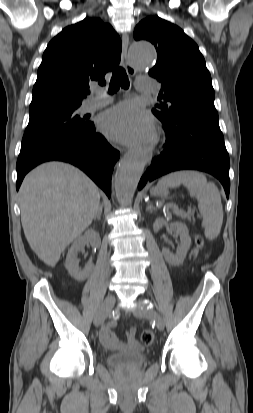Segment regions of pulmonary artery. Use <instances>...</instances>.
Returning a JSON list of instances; mask_svg holds the SVG:
<instances>
[{
    "label": "pulmonary artery",
    "mask_w": 253,
    "mask_h": 413,
    "mask_svg": "<svg viewBox=\"0 0 253 413\" xmlns=\"http://www.w3.org/2000/svg\"><path fill=\"white\" fill-rule=\"evenodd\" d=\"M155 89V84L152 81H148L145 85L139 87V90L142 92H154ZM109 102H111V97L97 94L96 96L86 101L83 109L86 112L94 111L100 107L105 106Z\"/></svg>",
    "instance_id": "obj_1"
}]
</instances>
